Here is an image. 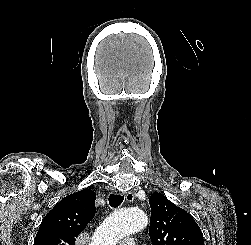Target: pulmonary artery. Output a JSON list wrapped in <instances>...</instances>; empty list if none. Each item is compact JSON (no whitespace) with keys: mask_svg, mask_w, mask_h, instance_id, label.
Listing matches in <instances>:
<instances>
[{"mask_svg":"<svg viewBox=\"0 0 251 245\" xmlns=\"http://www.w3.org/2000/svg\"><path fill=\"white\" fill-rule=\"evenodd\" d=\"M120 245H136V244L132 239H125L120 243Z\"/></svg>","mask_w":251,"mask_h":245,"instance_id":"e3ab8cb5","label":"pulmonary artery"}]
</instances>
